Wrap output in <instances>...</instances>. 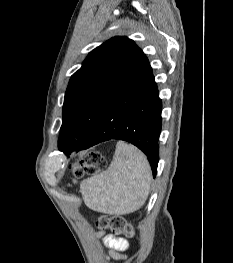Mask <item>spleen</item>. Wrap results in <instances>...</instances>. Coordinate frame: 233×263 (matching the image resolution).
I'll list each match as a JSON object with an SVG mask.
<instances>
[{
  "mask_svg": "<svg viewBox=\"0 0 233 263\" xmlns=\"http://www.w3.org/2000/svg\"><path fill=\"white\" fill-rule=\"evenodd\" d=\"M151 169L136 147L117 142L109 168L83 180L80 190L86 206L105 214H129L140 209L151 188Z\"/></svg>",
  "mask_w": 233,
  "mask_h": 263,
  "instance_id": "obj_1",
  "label": "spleen"
}]
</instances>
